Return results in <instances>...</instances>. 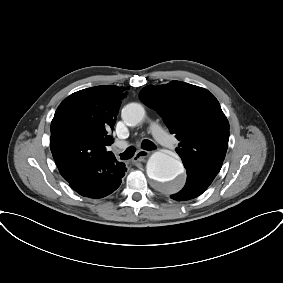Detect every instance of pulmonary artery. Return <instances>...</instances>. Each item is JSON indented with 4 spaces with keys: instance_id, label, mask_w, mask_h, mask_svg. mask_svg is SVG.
I'll use <instances>...</instances> for the list:
<instances>
[{
    "instance_id": "obj_1",
    "label": "pulmonary artery",
    "mask_w": 283,
    "mask_h": 283,
    "mask_svg": "<svg viewBox=\"0 0 283 283\" xmlns=\"http://www.w3.org/2000/svg\"><path fill=\"white\" fill-rule=\"evenodd\" d=\"M151 131L153 136L160 142L162 145L167 146V147H172L175 143L174 139L170 137L164 130L163 128L157 124L153 123L151 125ZM126 146V143L121 142L118 144V147L122 148Z\"/></svg>"
}]
</instances>
